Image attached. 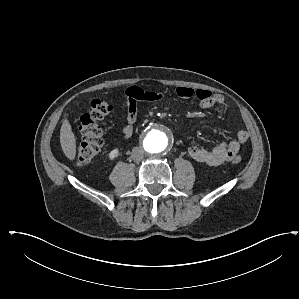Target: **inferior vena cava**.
Segmentation results:
<instances>
[{
    "instance_id": "1",
    "label": "inferior vena cava",
    "mask_w": 299,
    "mask_h": 299,
    "mask_svg": "<svg viewBox=\"0 0 299 299\" xmlns=\"http://www.w3.org/2000/svg\"><path fill=\"white\" fill-rule=\"evenodd\" d=\"M132 159L134 161H140L144 157V150L141 147H134L131 153Z\"/></svg>"
}]
</instances>
